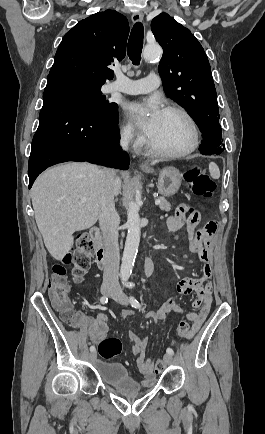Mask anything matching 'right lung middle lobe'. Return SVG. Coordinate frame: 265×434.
<instances>
[{"instance_id":"obj_1","label":"right lung middle lobe","mask_w":265,"mask_h":434,"mask_svg":"<svg viewBox=\"0 0 265 434\" xmlns=\"http://www.w3.org/2000/svg\"><path fill=\"white\" fill-rule=\"evenodd\" d=\"M104 83L84 75L56 74L48 76L44 94H62L71 99L88 116L115 122L118 119V106L102 95L100 89Z\"/></svg>"}]
</instances>
